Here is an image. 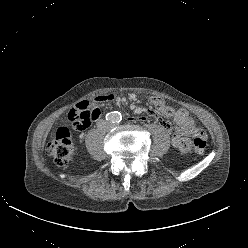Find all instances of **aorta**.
I'll return each instance as SVG.
<instances>
[{"label":"aorta","instance_id":"obj_1","mask_svg":"<svg viewBox=\"0 0 248 248\" xmlns=\"http://www.w3.org/2000/svg\"><path fill=\"white\" fill-rule=\"evenodd\" d=\"M113 115H114V120H118L119 117H120V116H119V115H120L119 113H116V114H113Z\"/></svg>","mask_w":248,"mask_h":248}]
</instances>
